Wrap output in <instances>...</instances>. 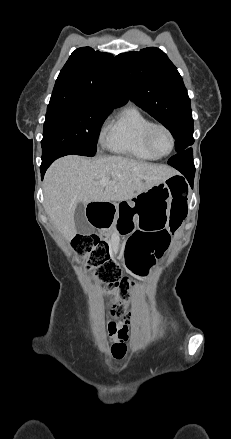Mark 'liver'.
<instances>
[{"label": "liver", "mask_w": 231, "mask_h": 439, "mask_svg": "<svg viewBox=\"0 0 231 439\" xmlns=\"http://www.w3.org/2000/svg\"><path fill=\"white\" fill-rule=\"evenodd\" d=\"M177 174L167 165L113 156L88 159L70 155L57 159L44 178V208L67 239L76 233L74 213L79 203L129 200ZM112 177L107 185L99 184Z\"/></svg>", "instance_id": "obj_1"}]
</instances>
